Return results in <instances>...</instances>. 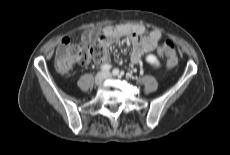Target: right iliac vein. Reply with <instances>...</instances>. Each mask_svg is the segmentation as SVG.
<instances>
[{"instance_id":"obj_1","label":"right iliac vein","mask_w":230,"mask_h":155,"mask_svg":"<svg viewBox=\"0 0 230 155\" xmlns=\"http://www.w3.org/2000/svg\"><path fill=\"white\" fill-rule=\"evenodd\" d=\"M105 73L104 72H100L96 75L95 77V84L96 85H101L103 80L105 79Z\"/></svg>"}]
</instances>
